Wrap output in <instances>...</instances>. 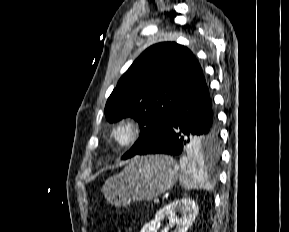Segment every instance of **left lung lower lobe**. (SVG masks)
I'll return each instance as SVG.
<instances>
[{
  "mask_svg": "<svg viewBox=\"0 0 289 232\" xmlns=\"http://www.w3.org/2000/svg\"><path fill=\"white\" fill-rule=\"evenodd\" d=\"M217 137V118L202 73L179 101L165 129L136 154L180 155L196 150L198 142L210 145Z\"/></svg>",
  "mask_w": 289,
  "mask_h": 232,
  "instance_id": "0a47b994",
  "label": "left lung lower lobe"
}]
</instances>
